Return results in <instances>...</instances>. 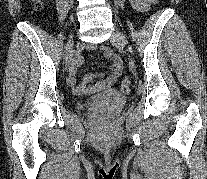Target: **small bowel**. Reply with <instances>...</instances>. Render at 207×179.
I'll return each mask as SVG.
<instances>
[{
    "instance_id": "c3829d8e",
    "label": "small bowel",
    "mask_w": 207,
    "mask_h": 179,
    "mask_svg": "<svg viewBox=\"0 0 207 179\" xmlns=\"http://www.w3.org/2000/svg\"><path fill=\"white\" fill-rule=\"evenodd\" d=\"M133 6L140 11H147L150 7L157 2V0H130ZM90 48H95L91 46ZM100 51L103 55L109 58L112 63L109 73L98 74L95 72L86 74L82 81L77 84L76 72L83 64V59L79 55H75L70 60V76L67 79L68 85L72 88L73 92L77 95L85 94L88 92H97L100 90L110 89L119 79L122 72V60L119 56L113 53V50L108 46H100ZM100 76L101 80L91 84V82Z\"/></svg>"
}]
</instances>
